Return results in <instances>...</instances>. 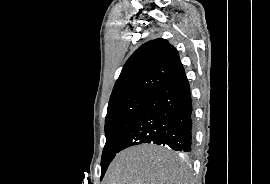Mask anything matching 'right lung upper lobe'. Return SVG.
Listing matches in <instances>:
<instances>
[{
  "instance_id": "right-lung-upper-lobe-1",
  "label": "right lung upper lobe",
  "mask_w": 270,
  "mask_h": 184,
  "mask_svg": "<svg viewBox=\"0 0 270 184\" xmlns=\"http://www.w3.org/2000/svg\"><path fill=\"white\" fill-rule=\"evenodd\" d=\"M183 69L178 51L165 39L140 46L125 63L110 102L134 95L150 96Z\"/></svg>"
}]
</instances>
